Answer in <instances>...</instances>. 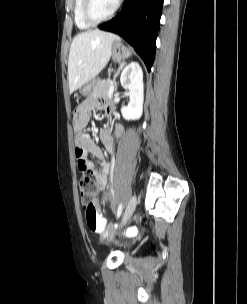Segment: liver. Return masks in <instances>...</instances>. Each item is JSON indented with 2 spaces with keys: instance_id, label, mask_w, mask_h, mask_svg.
Segmentation results:
<instances>
[{
  "instance_id": "1",
  "label": "liver",
  "mask_w": 247,
  "mask_h": 304,
  "mask_svg": "<svg viewBox=\"0 0 247 304\" xmlns=\"http://www.w3.org/2000/svg\"><path fill=\"white\" fill-rule=\"evenodd\" d=\"M116 40L118 36L100 30L85 31L74 37L68 60L70 93L96 77L106 66Z\"/></svg>"
}]
</instances>
